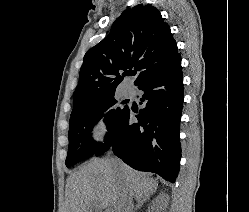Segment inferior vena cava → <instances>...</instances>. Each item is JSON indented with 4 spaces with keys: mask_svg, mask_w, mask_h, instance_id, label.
<instances>
[{
    "mask_svg": "<svg viewBox=\"0 0 249 212\" xmlns=\"http://www.w3.org/2000/svg\"><path fill=\"white\" fill-rule=\"evenodd\" d=\"M112 162H113V164H118V162H120V160H118V158H112ZM120 184H123V178H120ZM121 192H122V194H120V196L123 200L121 212H133L132 200H131V198H129L126 188H121Z\"/></svg>",
    "mask_w": 249,
    "mask_h": 212,
    "instance_id": "602c4592",
    "label": "inferior vena cava"
}]
</instances>
